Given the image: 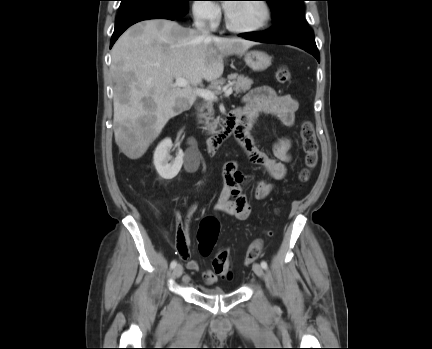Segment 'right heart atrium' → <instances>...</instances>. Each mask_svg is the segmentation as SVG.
Returning <instances> with one entry per match:
<instances>
[{"label":"right heart atrium","instance_id":"right-heart-atrium-1","mask_svg":"<svg viewBox=\"0 0 432 349\" xmlns=\"http://www.w3.org/2000/svg\"><path fill=\"white\" fill-rule=\"evenodd\" d=\"M191 10L196 20L210 26L216 25L221 16L219 6L212 0H194Z\"/></svg>","mask_w":432,"mask_h":349}]
</instances>
